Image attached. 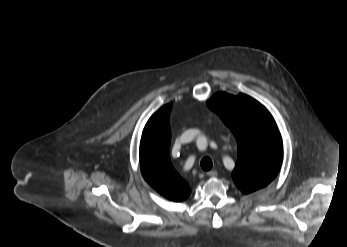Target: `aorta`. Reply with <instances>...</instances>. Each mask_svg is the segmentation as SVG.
<instances>
[{"mask_svg":"<svg viewBox=\"0 0 347 247\" xmlns=\"http://www.w3.org/2000/svg\"><path fill=\"white\" fill-rule=\"evenodd\" d=\"M206 142V138L205 137H199L198 140H197V144L200 145V144H203Z\"/></svg>","mask_w":347,"mask_h":247,"instance_id":"1","label":"aorta"}]
</instances>
